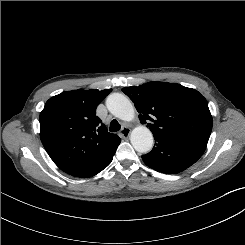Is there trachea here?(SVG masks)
<instances>
[{
  "instance_id": "3493384b",
  "label": "trachea",
  "mask_w": 245,
  "mask_h": 245,
  "mask_svg": "<svg viewBox=\"0 0 245 245\" xmlns=\"http://www.w3.org/2000/svg\"><path fill=\"white\" fill-rule=\"evenodd\" d=\"M121 129V125L118 123L117 120H112L111 123H110V132H117Z\"/></svg>"
}]
</instances>
